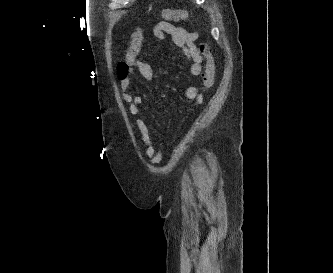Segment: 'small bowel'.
Masks as SVG:
<instances>
[{"mask_svg":"<svg viewBox=\"0 0 333 273\" xmlns=\"http://www.w3.org/2000/svg\"><path fill=\"white\" fill-rule=\"evenodd\" d=\"M154 34L156 38H158L159 40H163L165 39L166 35H169L173 44L182 49L186 59L189 62L190 73L193 76L200 75L202 70L201 66L202 57L198 53L197 46L195 43L198 38V34L196 32H188L184 28L176 26L171 22L163 23L161 21L155 27ZM141 48L142 44L138 49V51L135 53L136 62L130 63V65L127 68L126 74L121 75V72H119L120 89L122 93V98L129 105V112L134 118L135 125L145 145V155L151 160L153 164H157L161 160V154L156 150V148L152 144L148 127L144 122V120L139 116V106L141 104V98L139 96L133 95L130 91L131 74L134 71V69L138 70L140 75L145 80H151L153 77L152 67L148 63L138 58ZM126 55H129V48L127 50ZM186 98L189 101H200L201 95L199 87L197 86L189 87L186 91Z\"/></svg>","mask_w":333,"mask_h":273,"instance_id":"obj_1","label":"small bowel"}]
</instances>
